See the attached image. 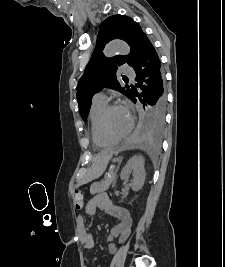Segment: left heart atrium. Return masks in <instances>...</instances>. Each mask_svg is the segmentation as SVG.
<instances>
[{
	"mask_svg": "<svg viewBox=\"0 0 225 267\" xmlns=\"http://www.w3.org/2000/svg\"><path fill=\"white\" fill-rule=\"evenodd\" d=\"M126 112H127V114H128V111L126 110V109H124ZM129 115V114H128Z\"/></svg>",
	"mask_w": 225,
	"mask_h": 267,
	"instance_id": "obj_1",
	"label": "left heart atrium"
}]
</instances>
